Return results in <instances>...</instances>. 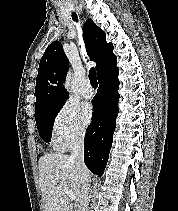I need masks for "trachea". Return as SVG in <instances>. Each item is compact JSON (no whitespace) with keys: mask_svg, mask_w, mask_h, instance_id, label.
<instances>
[{"mask_svg":"<svg viewBox=\"0 0 178 211\" xmlns=\"http://www.w3.org/2000/svg\"><path fill=\"white\" fill-rule=\"evenodd\" d=\"M72 19L76 22H78V16L75 12L72 13ZM89 80L92 84V86L94 88H97L98 86V83H97V77H96V70L94 69V67H92L90 70H89Z\"/></svg>","mask_w":178,"mask_h":211,"instance_id":"obj_1","label":"trachea"}]
</instances>
